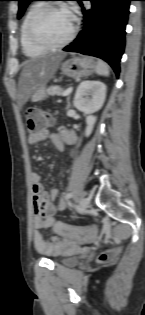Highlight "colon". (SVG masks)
<instances>
[{"mask_svg":"<svg viewBox=\"0 0 145 315\" xmlns=\"http://www.w3.org/2000/svg\"><path fill=\"white\" fill-rule=\"evenodd\" d=\"M26 130L29 134H34L46 129L51 123V116L37 108H30L25 112ZM54 231L66 238L86 241L92 239L97 234L94 226L75 227L64 223H58L53 227ZM116 255V251H109L100 255L101 261L112 260Z\"/></svg>","mask_w":145,"mask_h":315,"instance_id":"colon-1","label":"colon"}]
</instances>
